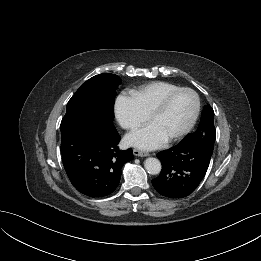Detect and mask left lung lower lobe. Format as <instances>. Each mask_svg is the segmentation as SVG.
Masks as SVG:
<instances>
[{"mask_svg": "<svg viewBox=\"0 0 261 261\" xmlns=\"http://www.w3.org/2000/svg\"><path fill=\"white\" fill-rule=\"evenodd\" d=\"M212 153L201 144L180 142L157 157L162 163L159 176L152 179L156 191L167 198L190 195L203 180Z\"/></svg>", "mask_w": 261, "mask_h": 261, "instance_id": "obj_1", "label": "left lung lower lobe"}]
</instances>
